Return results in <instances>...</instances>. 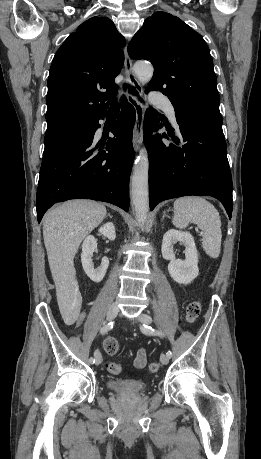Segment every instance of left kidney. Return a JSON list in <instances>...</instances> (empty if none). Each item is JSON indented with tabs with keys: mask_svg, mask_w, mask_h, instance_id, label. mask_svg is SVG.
<instances>
[{
	"mask_svg": "<svg viewBox=\"0 0 261 459\" xmlns=\"http://www.w3.org/2000/svg\"><path fill=\"white\" fill-rule=\"evenodd\" d=\"M181 242L185 246V260L176 259L173 245ZM162 256L170 260L168 271L172 279L179 284H189L198 275V253L194 238L189 232L175 229L168 230L162 240Z\"/></svg>",
	"mask_w": 261,
	"mask_h": 459,
	"instance_id": "5707ae66",
	"label": "left kidney"
}]
</instances>
